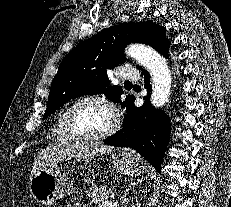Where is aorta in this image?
<instances>
[{
	"label": "aorta",
	"instance_id": "762f6f07",
	"mask_svg": "<svg viewBox=\"0 0 231 207\" xmlns=\"http://www.w3.org/2000/svg\"><path fill=\"white\" fill-rule=\"evenodd\" d=\"M125 54L145 67L152 78L151 104L160 108L168 101L172 83L167 61L154 49L142 44L129 45Z\"/></svg>",
	"mask_w": 231,
	"mask_h": 207
}]
</instances>
